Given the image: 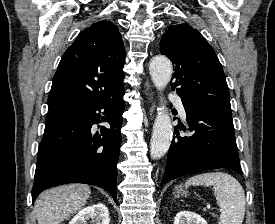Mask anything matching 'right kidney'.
<instances>
[{
  "label": "right kidney",
  "mask_w": 275,
  "mask_h": 224,
  "mask_svg": "<svg viewBox=\"0 0 275 224\" xmlns=\"http://www.w3.org/2000/svg\"><path fill=\"white\" fill-rule=\"evenodd\" d=\"M89 220L92 224H110L108 208L102 203L88 206L80 210L69 224H87Z\"/></svg>",
  "instance_id": "1"
}]
</instances>
